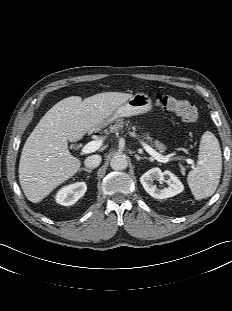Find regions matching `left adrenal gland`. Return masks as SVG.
Masks as SVG:
<instances>
[{
  "mask_svg": "<svg viewBox=\"0 0 232 311\" xmlns=\"http://www.w3.org/2000/svg\"><path fill=\"white\" fill-rule=\"evenodd\" d=\"M135 158L139 161L141 159H147V157H141L138 154H135Z\"/></svg>",
  "mask_w": 232,
  "mask_h": 311,
  "instance_id": "a2214340",
  "label": "left adrenal gland"
}]
</instances>
